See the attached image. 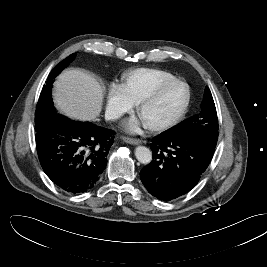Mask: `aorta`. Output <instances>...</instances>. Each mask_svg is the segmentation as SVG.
<instances>
[{
  "instance_id": "1",
  "label": "aorta",
  "mask_w": 267,
  "mask_h": 267,
  "mask_svg": "<svg viewBox=\"0 0 267 267\" xmlns=\"http://www.w3.org/2000/svg\"><path fill=\"white\" fill-rule=\"evenodd\" d=\"M135 156L142 164H149L152 161V152L145 146H138L135 149Z\"/></svg>"
}]
</instances>
